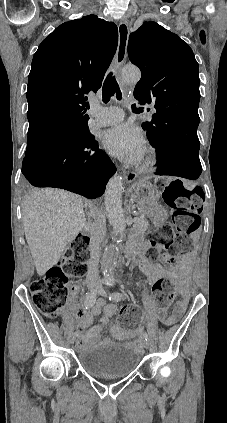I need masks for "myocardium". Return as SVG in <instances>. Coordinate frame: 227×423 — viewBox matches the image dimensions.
Wrapping results in <instances>:
<instances>
[{"instance_id":"1","label":"myocardium","mask_w":227,"mask_h":423,"mask_svg":"<svg viewBox=\"0 0 227 423\" xmlns=\"http://www.w3.org/2000/svg\"><path fill=\"white\" fill-rule=\"evenodd\" d=\"M159 162V153L154 146H149L146 153V158L139 166L141 171L153 170Z\"/></svg>"}]
</instances>
